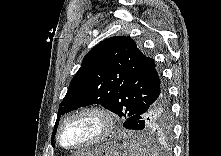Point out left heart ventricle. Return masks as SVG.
Wrapping results in <instances>:
<instances>
[{"instance_id":"1","label":"left heart ventricle","mask_w":221,"mask_h":156,"mask_svg":"<svg viewBox=\"0 0 221 156\" xmlns=\"http://www.w3.org/2000/svg\"><path fill=\"white\" fill-rule=\"evenodd\" d=\"M101 129L100 120L93 115H82L69 121L62 131L65 146L82 145L93 139Z\"/></svg>"}]
</instances>
